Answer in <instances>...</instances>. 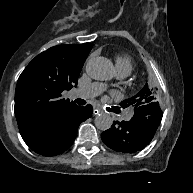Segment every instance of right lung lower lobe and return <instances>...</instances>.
I'll use <instances>...</instances> for the list:
<instances>
[{
    "label": "right lung lower lobe",
    "instance_id": "98d812e1",
    "mask_svg": "<svg viewBox=\"0 0 193 193\" xmlns=\"http://www.w3.org/2000/svg\"><path fill=\"white\" fill-rule=\"evenodd\" d=\"M91 105L78 106L48 133L23 136L25 143L36 153L54 156L63 153L74 142L78 126L92 115Z\"/></svg>",
    "mask_w": 193,
    "mask_h": 193
}]
</instances>
